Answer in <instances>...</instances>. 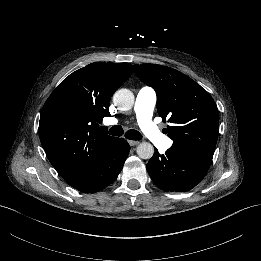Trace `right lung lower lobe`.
I'll use <instances>...</instances> for the list:
<instances>
[{
  "mask_svg": "<svg viewBox=\"0 0 261 261\" xmlns=\"http://www.w3.org/2000/svg\"><path fill=\"white\" fill-rule=\"evenodd\" d=\"M129 151L128 142L123 138H117L102 159L68 177L66 181L81 192L92 193L102 190L116 180Z\"/></svg>",
  "mask_w": 261,
  "mask_h": 261,
  "instance_id": "right-lung-lower-lobe-1",
  "label": "right lung lower lobe"
}]
</instances>
